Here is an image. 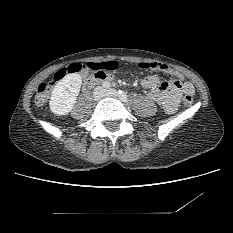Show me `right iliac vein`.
<instances>
[{
  "mask_svg": "<svg viewBox=\"0 0 233 233\" xmlns=\"http://www.w3.org/2000/svg\"><path fill=\"white\" fill-rule=\"evenodd\" d=\"M103 94H104V89L103 88H98L97 91L94 94V98L95 99H100Z\"/></svg>",
  "mask_w": 233,
  "mask_h": 233,
  "instance_id": "obj_1",
  "label": "right iliac vein"
}]
</instances>
